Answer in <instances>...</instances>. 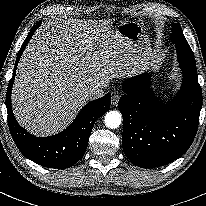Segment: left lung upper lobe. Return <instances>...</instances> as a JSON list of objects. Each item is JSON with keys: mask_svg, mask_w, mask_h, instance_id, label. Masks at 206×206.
Here are the masks:
<instances>
[{"mask_svg": "<svg viewBox=\"0 0 206 206\" xmlns=\"http://www.w3.org/2000/svg\"><path fill=\"white\" fill-rule=\"evenodd\" d=\"M172 42L176 44V50L178 55H185L195 64L193 52L183 35L180 25L176 23H173Z\"/></svg>", "mask_w": 206, "mask_h": 206, "instance_id": "left-lung-upper-lobe-1", "label": "left lung upper lobe"}]
</instances>
